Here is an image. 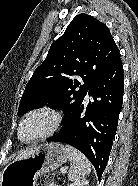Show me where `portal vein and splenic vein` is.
I'll return each instance as SVG.
<instances>
[{
	"instance_id": "portal-vein-and-splenic-vein-1",
	"label": "portal vein and splenic vein",
	"mask_w": 138,
	"mask_h": 186,
	"mask_svg": "<svg viewBox=\"0 0 138 186\" xmlns=\"http://www.w3.org/2000/svg\"><path fill=\"white\" fill-rule=\"evenodd\" d=\"M61 172H62V173H66V169L62 168V169H61Z\"/></svg>"
}]
</instances>
